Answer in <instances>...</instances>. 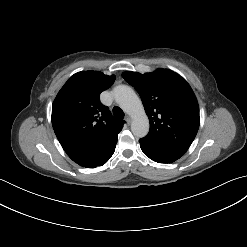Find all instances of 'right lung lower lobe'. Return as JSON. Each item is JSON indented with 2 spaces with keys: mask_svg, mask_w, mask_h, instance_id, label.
<instances>
[{
  "mask_svg": "<svg viewBox=\"0 0 247 247\" xmlns=\"http://www.w3.org/2000/svg\"><path fill=\"white\" fill-rule=\"evenodd\" d=\"M117 137L114 138L111 142L105 145L102 150L96 155L95 159L88 163L86 168H96L98 166L104 165L113 155L117 143Z\"/></svg>",
  "mask_w": 247,
  "mask_h": 247,
  "instance_id": "1",
  "label": "right lung lower lobe"
}]
</instances>
